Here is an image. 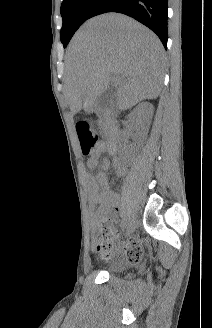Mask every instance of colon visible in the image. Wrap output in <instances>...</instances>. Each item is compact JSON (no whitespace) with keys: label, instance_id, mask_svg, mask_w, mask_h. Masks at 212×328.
<instances>
[{"label":"colon","instance_id":"5ec220e1","mask_svg":"<svg viewBox=\"0 0 212 328\" xmlns=\"http://www.w3.org/2000/svg\"><path fill=\"white\" fill-rule=\"evenodd\" d=\"M76 132L79 138L82 154L89 156L94 153L98 141V135L92 126L86 121H80L76 124ZM118 236L106 225L99 229L96 239V249L104 257H107L115 247ZM141 254L134 261H139Z\"/></svg>","mask_w":212,"mask_h":328}]
</instances>
